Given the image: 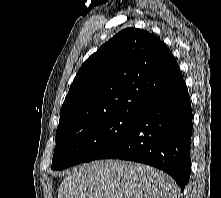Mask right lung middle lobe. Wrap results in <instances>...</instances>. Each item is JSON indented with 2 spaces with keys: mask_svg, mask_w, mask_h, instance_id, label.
I'll list each match as a JSON object with an SVG mask.
<instances>
[{
  "mask_svg": "<svg viewBox=\"0 0 221 198\" xmlns=\"http://www.w3.org/2000/svg\"><path fill=\"white\" fill-rule=\"evenodd\" d=\"M138 116L129 113L113 114L57 136L51 169L62 170L96 159L134 128Z\"/></svg>",
  "mask_w": 221,
  "mask_h": 198,
  "instance_id": "right-lung-middle-lobe-1",
  "label": "right lung middle lobe"
}]
</instances>
